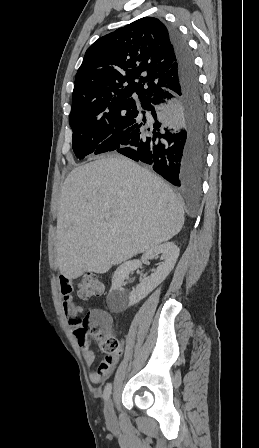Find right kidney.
Returning a JSON list of instances; mask_svg holds the SVG:
<instances>
[{
	"label": "right kidney",
	"mask_w": 259,
	"mask_h": 448,
	"mask_svg": "<svg viewBox=\"0 0 259 448\" xmlns=\"http://www.w3.org/2000/svg\"><path fill=\"white\" fill-rule=\"evenodd\" d=\"M179 252L180 250L175 246L174 242H165V244H160V246H155V248H151V250L145 252L141 258V262L140 260H131V262L121 264L116 272H114L112 288L107 296L109 310L118 314V312H124L129 306H134V304H138L140 300L146 298L152 290H155L167 278L171 270H173ZM159 254H161L160 260H164V262H161L160 266L154 270L151 276L142 278L140 284H138L137 288H133L132 292H127V290L122 288L125 284L124 280L128 278L131 272L140 268L142 262L145 264L147 260H153Z\"/></svg>",
	"instance_id": "obj_1"
}]
</instances>
